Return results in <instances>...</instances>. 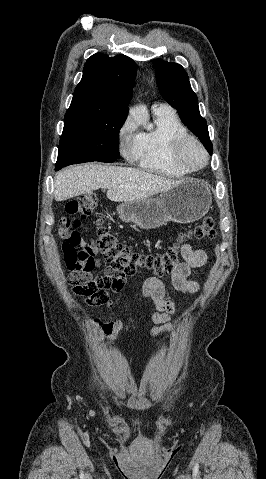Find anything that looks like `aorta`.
<instances>
[{
  "label": "aorta",
  "mask_w": 266,
  "mask_h": 479,
  "mask_svg": "<svg viewBox=\"0 0 266 479\" xmlns=\"http://www.w3.org/2000/svg\"><path fill=\"white\" fill-rule=\"evenodd\" d=\"M131 115L133 117H135L136 119H139V120H144L145 119V116L140 115V114L136 113L135 111H131Z\"/></svg>",
  "instance_id": "762f6f07"
}]
</instances>
